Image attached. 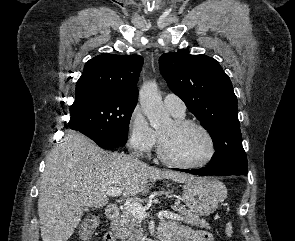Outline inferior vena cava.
Here are the masks:
<instances>
[{
  "label": "inferior vena cava",
  "instance_id": "inferior-vena-cava-1",
  "mask_svg": "<svg viewBox=\"0 0 295 241\" xmlns=\"http://www.w3.org/2000/svg\"><path fill=\"white\" fill-rule=\"evenodd\" d=\"M129 157L132 158L135 163L137 164L141 163L140 160L138 159V155H136L135 153L131 154Z\"/></svg>",
  "mask_w": 295,
  "mask_h": 241
}]
</instances>
